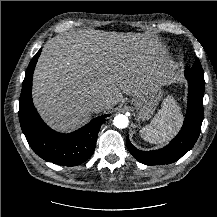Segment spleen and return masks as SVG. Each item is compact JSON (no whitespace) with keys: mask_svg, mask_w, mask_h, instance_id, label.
Wrapping results in <instances>:
<instances>
[{"mask_svg":"<svg viewBox=\"0 0 217 217\" xmlns=\"http://www.w3.org/2000/svg\"><path fill=\"white\" fill-rule=\"evenodd\" d=\"M182 114L180 108L171 98L164 101L162 108L155 114L150 124L140 131L141 137L150 143H164L168 141L180 127Z\"/></svg>","mask_w":217,"mask_h":217,"instance_id":"1","label":"spleen"}]
</instances>
